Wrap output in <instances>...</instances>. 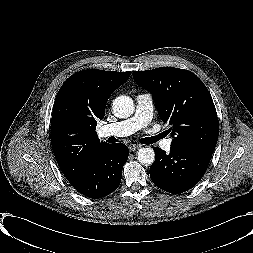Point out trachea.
Listing matches in <instances>:
<instances>
[{"instance_id": "obj_1", "label": "trachea", "mask_w": 253, "mask_h": 253, "mask_svg": "<svg viewBox=\"0 0 253 253\" xmlns=\"http://www.w3.org/2000/svg\"><path fill=\"white\" fill-rule=\"evenodd\" d=\"M158 138L162 137V134H159L158 136H156ZM157 138V139H158ZM156 141V139L150 138V137H146L140 140V143L142 144H152Z\"/></svg>"}]
</instances>
